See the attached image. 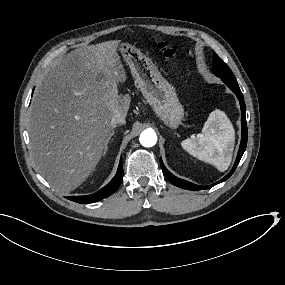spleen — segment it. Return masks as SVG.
<instances>
[{"instance_id":"spleen-1","label":"spleen","mask_w":285,"mask_h":285,"mask_svg":"<svg viewBox=\"0 0 285 285\" xmlns=\"http://www.w3.org/2000/svg\"><path fill=\"white\" fill-rule=\"evenodd\" d=\"M202 132L203 135L182 141V148L199 160L215 165L220 171L227 170L235 140L232 126L219 110H215L209 114Z\"/></svg>"}]
</instances>
